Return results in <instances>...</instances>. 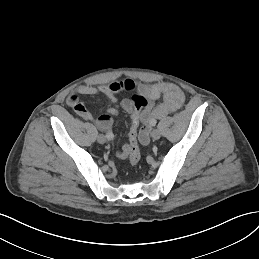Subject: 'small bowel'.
Segmentation results:
<instances>
[{"mask_svg": "<svg viewBox=\"0 0 259 259\" xmlns=\"http://www.w3.org/2000/svg\"><path fill=\"white\" fill-rule=\"evenodd\" d=\"M134 89H137L138 93L145 96L148 101L147 107L141 112L142 128L139 132L140 143L147 146L150 142V130L154 125V121L180 109L184 104L185 95L179 86L170 82L138 83L131 79L98 86L82 84L77 87L75 93H71L67 97V104L85 120L93 121L99 129L109 131L113 124L112 116L118 115V110L114 107L117 103L116 94ZM97 94L104 95L110 104L107 108V113L100 116H95L91 113L78 96ZM160 97L163 100L158 103L157 101ZM121 106L125 111L132 113L133 104L131 100H123ZM128 154L129 145H124L121 151L118 152V157L125 159Z\"/></svg>", "mask_w": 259, "mask_h": 259, "instance_id": "obj_1", "label": "small bowel"}]
</instances>
